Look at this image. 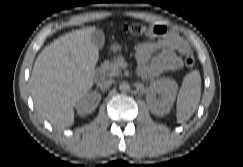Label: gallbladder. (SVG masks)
Segmentation results:
<instances>
[{
	"instance_id": "obj_1",
	"label": "gallbladder",
	"mask_w": 243,
	"mask_h": 167,
	"mask_svg": "<svg viewBox=\"0 0 243 167\" xmlns=\"http://www.w3.org/2000/svg\"><path fill=\"white\" fill-rule=\"evenodd\" d=\"M91 41L98 50L101 49L105 42L103 31L101 29H94L91 34Z\"/></svg>"
}]
</instances>
